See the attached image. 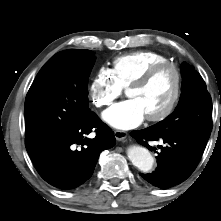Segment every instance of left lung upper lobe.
I'll return each mask as SVG.
<instances>
[{"mask_svg": "<svg viewBox=\"0 0 221 221\" xmlns=\"http://www.w3.org/2000/svg\"><path fill=\"white\" fill-rule=\"evenodd\" d=\"M182 92L175 111L153 125L164 134H188L208 140L212 129V100L200 74L182 63Z\"/></svg>", "mask_w": 221, "mask_h": 221, "instance_id": "5c2ea615", "label": "left lung upper lobe"}]
</instances>
